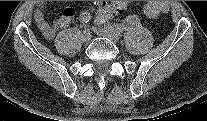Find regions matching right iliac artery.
Wrapping results in <instances>:
<instances>
[{
	"label": "right iliac artery",
	"instance_id": "82829eb1",
	"mask_svg": "<svg viewBox=\"0 0 207 121\" xmlns=\"http://www.w3.org/2000/svg\"><path fill=\"white\" fill-rule=\"evenodd\" d=\"M90 19H91V16L87 12H83L80 15V22L84 25L85 30L87 29V26H88Z\"/></svg>",
	"mask_w": 207,
	"mask_h": 121
}]
</instances>
